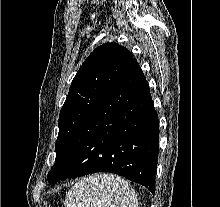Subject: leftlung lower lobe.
<instances>
[{
  "instance_id": "0a47b994",
  "label": "left lung lower lobe",
  "mask_w": 220,
  "mask_h": 207,
  "mask_svg": "<svg viewBox=\"0 0 220 207\" xmlns=\"http://www.w3.org/2000/svg\"><path fill=\"white\" fill-rule=\"evenodd\" d=\"M159 122L148 83L136 59L115 81L48 173L60 179L96 172L124 176L155 194Z\"/></svg>"
}]
</instances>
